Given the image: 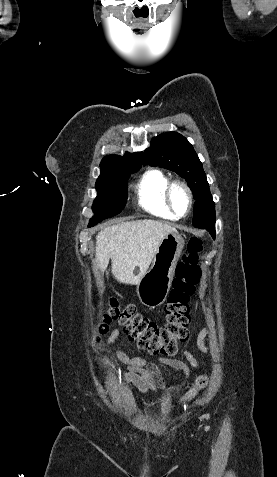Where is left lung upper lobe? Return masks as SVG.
I'll return each instance as SVG.
<instances>
[{
    "mask_svg": "<svg viewBox=\"0 0 277 477\" xmlns=\"http://www.w3.org/2000/svg\"><path fill=\"white\" fill-rule=\"evenodd\" d=\"M144 164L172 170L187 181L195 199V227L215 223V204L206 174L193 146L185 137L177 132L160 134L145 150Z\"/></svg>",
    "mask_w": 277,
    "mask_h": 477,
    "instance_id": "obj_1",
    "label": "left lung upper lobe"
}]
</instances>
